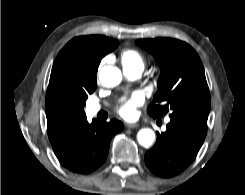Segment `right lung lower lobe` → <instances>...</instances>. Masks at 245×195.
Wrapping results in <instances>:
<instances>
[{"label":"right lung lower lobe","instance_id":"1","mask_svg":"<svg viewBox=\"0 0 245 195\" xmlns=\"http://www.w3.org/2000/svg\"><path fill=\"white\" fill-rule=\"evenodd\" d=\"M123 129L122 122L85 121L71 139L54 150L62 166L73 173L89 174L107 158L111 138Z\"/></svg>","mask_w":245,"mask_h":195}]
</instances>
